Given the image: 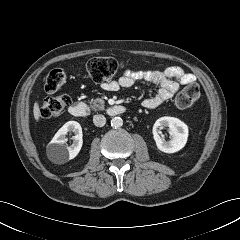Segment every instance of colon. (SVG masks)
I'll list each match as a JSON object with an SVG mask.
<instances>
[{"mask_svg": "<svg viewBox=\"0 0 240 240\" xmlns=\"http://www.w3.org/2000/svg\"><path fill=\"white\" fill-rule=\"evenodd\" d=\"M123 68V64L115 58L99 57L91 59L86 66L88 76L96 83L109 82ZM67 84V76L60 69L52 70L45 81L47 92H56ZM201 92L197 84L187 85L177 96L176 105L180 109H187L200 98ZM67 95L49 97L41 108V115L45 119L59 115L69 104Z\"/></svg>", "mask_w": 240, "mask_h": 240, "instance_id": "colon-1", "label": "colon"}]
</instances>
